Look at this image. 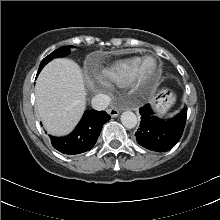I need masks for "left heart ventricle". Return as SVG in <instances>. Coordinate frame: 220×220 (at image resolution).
Returning a JSON list of instances; mask_svg holds the SVG:
<instances>
[{
  "instance_id": "left-heart-ventricle-1",
  "label": "left heart ventricle",
  "mask_w": 220,
  "mask_h": 220,
  "mask_svg": "<svg viewBox=\"0 0 220 220\" xmlns=\"http://www.w3.org/2000/svg\"><path fill=\"white\" fill-rule=\"evenodd\" d=\"M144 68L147 70V71H150L154 68V61L149 59L145 62L144 64Z\"/></svg>"
}]
</instances>
